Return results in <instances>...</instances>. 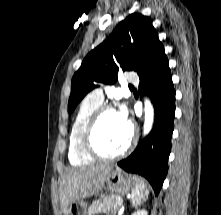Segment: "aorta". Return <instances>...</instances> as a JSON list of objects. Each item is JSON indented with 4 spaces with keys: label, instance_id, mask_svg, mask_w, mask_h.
I'll return each mask as SVG.
<instances>
[{
    "label": "aorta",
    "instance_id": "obj_1",
    "mask_svg": "<svg viewBox=\"0 0 221 215\" xmlns=\"http://www.w3.org/2000/svg\"><path fill=\"white\" fill-rule=\"evenodd\" d=\"M145 121H144V135L148 134L152 129L154 121V109L149 100L144 103Z\"/></svg>",
    "mask_w": 221,
    "mask_h": 215
}]
</instances>
